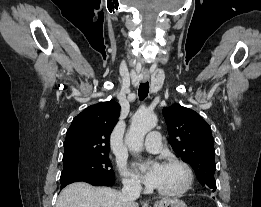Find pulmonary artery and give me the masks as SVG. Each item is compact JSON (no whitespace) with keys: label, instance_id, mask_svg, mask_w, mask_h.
Masks as SVG:
<instances>
[{"label":"pulmonary artery","instance_id":"1","mask_svg":"<svg viewBox=\"0 0 261 207\" xmlns=\"http://www.w3.org/2000/svg\"><path fill=\"white\" fill-rule=\"evenodd\" d=\"M144 149L150 153H158L161 149V136L157 131L150 132L144 142Z\"/></svg>","mask_w":261,"mask_h":207}]
</instances>
